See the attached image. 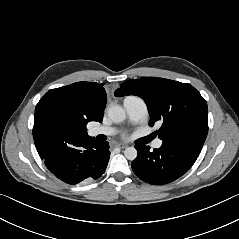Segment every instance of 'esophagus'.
<instances>
[{
  "mask_svg": "<svg viewBox=\"0 0 239 239\" xmlns=\"http://www.w3.org/2000/svg\"><path fill=\"white\" fill-rule=\"evenodd\" d=\"M116 146L119 147V148H121V149H124V148L127 147V145H126V144H123V143H118Z\"/></svg>",
  "mask_w": 239,
  "mask_h": 239,
  "instance_id": "obj_1",
  "label": "esophagus"
}]
</instances>
